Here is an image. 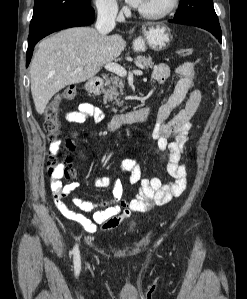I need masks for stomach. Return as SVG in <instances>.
I'll return each instance as SVG.
<instances>
[{"label": "stomach", "instance_id": "0dacf381", "mask_svg": "<svg viewBox=\"0 0 247 299\" xmlns=\"http://www.w3.org/2000/svg\"><path fill=\"white\" fill-rule=\"evenodd\" d=\"M172 41L171 30L163 23H147L143 26V37L133 42L135 51L144 52L147 47L160 51L169 47Z\"/></svg>", "mask_w": 247, "mask_h": 299}]
</instances>
